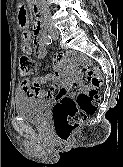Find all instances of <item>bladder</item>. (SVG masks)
<instances>
[{
  "mask_svg": "<svg viewBox=\"0 0 123 167\" xmlns=\"http://www.w3.org/2000/svg\"><path fill=\"white\" fill-rule=\"evenodd\" d=\"M16 113L27 121L44 125L52 108V102L46 98L20 96L15 102Z\"/></svg>",
  "mask_w": 123,
  "mask_h": 167,
  "instance_id": "bladder-1",
  "label": "bladder"
}]
</instances>
